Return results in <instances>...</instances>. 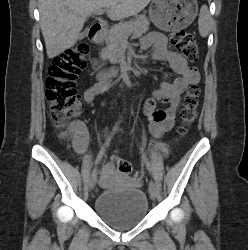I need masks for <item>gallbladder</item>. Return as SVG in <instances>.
Listing matches in <instances>:
<instances>
[{"label":"gallbladder","instance_id":"bac80fb5","mask_svg":"<svg viewBox=\"0 0 248 250\" xmlns=\"http://www.w3.org/2000/svg\"><path fill=\"white\" fill-rule=\"evenodd\" d=\"M83 37V34H80L79 38H82Z\"/></svg>","mask_w":248,"mask_h":250}]
</instances>
